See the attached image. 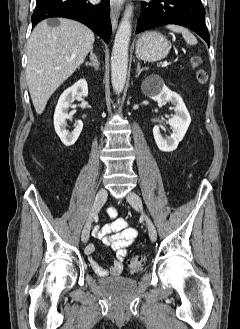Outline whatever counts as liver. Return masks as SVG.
I'll list each match as a JSON object with an SVG mask.
<instances>
[{"label":"liver","mask_w":240,"mask_h":329,"mask_svg":"<svg viewBox=\"0 0 240 329\" xmlns=\"http://www.w3.org/2000/svg\"><path fill=\"white\" fill-rule=\"evenodd\" d=\"M59 22L51 27L42 21L28 40L26 80L37 114L43 113L51 95L84 62L95 40L94 33L81 23Z\"/></svg>","instance_id":"1"}]
</instances>
